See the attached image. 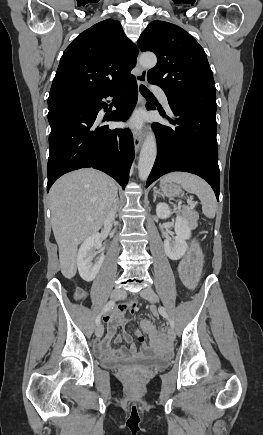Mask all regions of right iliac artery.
Listing matches in <instances>:
<instances>
[{
	"mask_svg": "<svg viewBox=\"0 0 263 435\" xmlns=\"http://www.w3.org/2000/svg\"><path fill=\"white\" fill-rule=\"evenodd\" d=\"M115 305L114 301H109L103 308V310L101 311V313L97 316L96 318V324L99 326L100 322H101V315L103 313H106L107 311H109L111 308H113V306Z\"/></svg>",
	"mask_w": 263,
	"mask_h": 435,
	"instance_id": "82829eb1",
	"label": "right iliac artery"
}]
</instances>
